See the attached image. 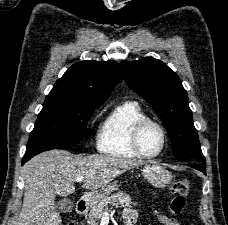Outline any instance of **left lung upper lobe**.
<instances>
[{
    "label": "left lung upper lobe",
    "instance_id": "1",
    "mask_svg": "<svg viewBox=\"0 0 228 225\" xmlns=\"http://www.w3.org/2000/svg\"><path fill=\"white\" fill-rule=\"evenodd\" d=\"M127 85L149 102L166 126L175 157L204 164L187 92L178 75L162 61L144 57L121 63Z\"/></svg>",
    "mask_w": 228,
    "mask_h": 225
}]
</instances>
